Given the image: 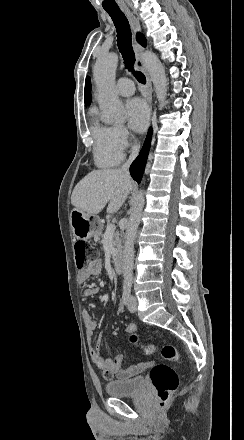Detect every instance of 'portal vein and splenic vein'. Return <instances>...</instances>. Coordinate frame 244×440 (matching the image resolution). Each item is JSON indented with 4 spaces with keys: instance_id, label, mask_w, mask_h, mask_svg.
Segmentation results:
<instances>
[{
    "instance_id": "portal-vein-and-splenic-vein-1",
    "label": "portal vein and splenic vein",
    "mask_w": 244,
    "mask_h": 440,
    "mask_svg": "<svg viewBox=\"0 0 244 440\" xmlns=\"http://www.w3.org/2000/svg\"><path fill=\"white\" fill-rule=\"evenodd\" d=\"M106 230L107 232H114V230H116L115 224H107Z\"/></svg>"
}]
</instances>
